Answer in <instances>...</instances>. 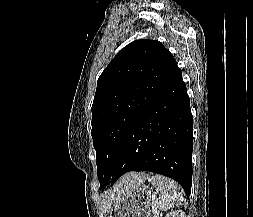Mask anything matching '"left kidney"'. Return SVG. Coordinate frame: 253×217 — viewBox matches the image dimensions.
I'll return each mask as SVG.
<instances>
[{
	"label": "left kidney",
	"mask_w": 253,
	"mask_h": 217,
	"mask_svg": "<svg viewBox=\"0 0 253 217\" xmlns=\"http://www.w3.org/2000/svg\"><path fill=\"white\" fill-rule=\"evenodd\" d=\"M165 217H185L184 213L181 211H173L168 213Z\"/></svg>",
	"instance_id": "5707ae66"
}]
</instances>
